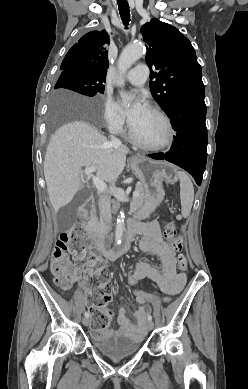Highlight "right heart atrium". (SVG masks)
Segmentation results:
<instances>
[{
    "instance_id": "right-heart-atrium-1",
    "label": "right heart atrium",
    "mask_w": 248,
    "mask_h": 389,
    "mask_svg": "<svg viewBox=\"0 0 248 389\" xmlns=\"http://www.w3.org/2000/svg\"><path fill=\"white\" fill-rule=\"evenodd\" d=\"M103 119L106 128L115 134H121L125 129V119L119 107L112 97L107 96L104 99Z\"/></svg>"
}]
</instances>
